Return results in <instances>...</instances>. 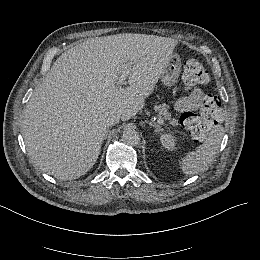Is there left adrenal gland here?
I'll return each mask as SVG.
<instances>
[{
    "label": "left adrenal gland",
    "mask_w": 260,
    "mask_h": 260,
    "mask_svg": "<svg viewBox=\"0 0 260 260\" xmlns=\"http://www.w3.org/2000/svg\"><path fill=\"white\" fill-rule=\"evenodd\" d=\"M153 127L156 128V134H160L163 130L161 128V126L157 125V124H151Z\"/></svg>",
    "instance_id": "obj_1"
}]
</instances>
